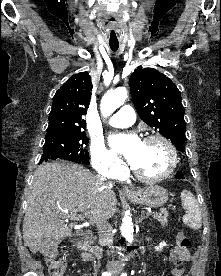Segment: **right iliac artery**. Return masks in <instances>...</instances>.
Listing matches in <instances>:
<instances>
[{
  "label": "right iliac artery",
  "mask_w": 221,
  "mask_h": 276,
  "mask_svg": "<svg viewBox=\"0 0 221 276\" xmlns=\"http://www.w3.org/2000/svg\"><path fill=\"white\" fill-rule=\"evenodd\" d=\"M102 276H111V273L104 272V273L102 274Z\"/></svg>",
  "instance_id": "obj_1"
}]
</instances>
